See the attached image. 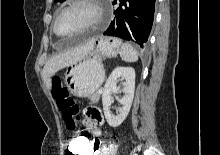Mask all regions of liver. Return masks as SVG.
Wrapping results in <instances>:
<instances>
[{
  "mask_svg": "<svg viewBox=\"0 0 220 155\" xmlns=\"http://www.w3.org/2000/svg\"><path fill=\"white\" fill-rule=\"evenodd\" d=\"M92 47V44H88L82 47L72 48L64 52H61L58 55L53 56L50 60H48L42 71V77L47 88H52L51 77L58 70L71 64L77 63L78 61L83 59L90 52Z\"/></svg>",
  "mask_w": 220,
  "mask_h": 155,
  "instance_id": "6515ba94",
  "label": "liver"
}]
</instances>
